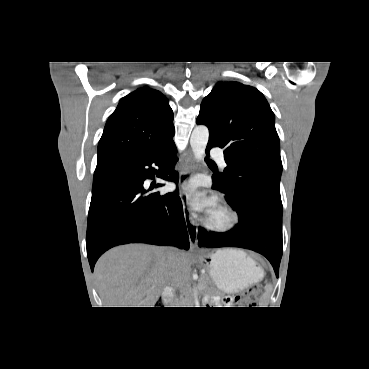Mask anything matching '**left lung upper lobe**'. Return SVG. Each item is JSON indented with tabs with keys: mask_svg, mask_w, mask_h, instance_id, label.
I'll return each mask as SVG.
<instances>
[{
	"mask_svg": "<svg viewBox=\"0 0 369 369\" xmlns=\"http://www.w3.org/2000/svg\"><path fill=\"white\" fill-rule=\"evenodd\" d=\"M197 124L224 149L227 167L213 175L227 190L254 189L280 197L282 162L274 113L263 94L239 82L217 84L200 106Z\"/></svg>",
	"mask_w": 369,
	"mask_h": 369,
	"instance_id": "1",
	"label": "left lung upper lobe"
}]
</instances>
